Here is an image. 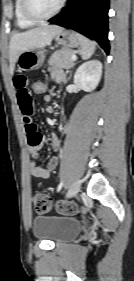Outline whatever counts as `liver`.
I'll use <instances>...</instances> for the list:
<instances>
[{
  "instance_id": "obj_1",
  "label": "liver",
  "mask_w": 134,
  "mask_h": 281,
  "mask_svg": "<svg viewBox=\"0 0 134 281\" xmlns=\"http://www.w3.org/2000/svg\"><path fill=\"white\" fill-rule=\"evenodd\" d=\"M61 30L57 25H44L13 35L9 46L10 73L13 74L16 59L21 52L46 47Z\"/></svg>"
}]
</instances>
